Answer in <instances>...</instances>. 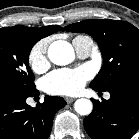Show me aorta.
Masks as SVG:
<instances>
[{"label":"aorta","mask_w":139,"mask_h":139,"mask_svg":"<svg viewBox=\"0 0 139 139\" xmlns=\"http://www.w3.org/2000/svg\"><path fill=\"white\" fill-rule=\"evenodd\" d=\"M48 57L56 65H67L74 59V50L67 41H54L48 48ZM75 111L80 115H89L92 112L93 104L89 99L81 98L74 103Z\"/></svg>","instance_id":"1"}]
</instances>
